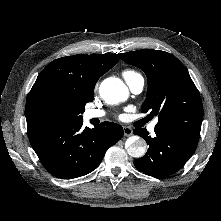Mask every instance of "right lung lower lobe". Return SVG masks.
I'll list each match as a JSON object with an SVG mask.
<instances>
[{
    "label": "right lung lower lobe",
    "instance_id": "right-lung-lower-lobe-1",
    "mask_svg": "<svg viewBox=\"0 0 221 221\" xmlns=\"http://www.w3.org/2000/svg\"><path fill=\"white\" fill-rule=\"evenodd\" d=\"M83 121L44 127L29 140L45 169L61 179L86 175L101 163L107 149L123 136V128L103 122L93 129Z\"/></svg>",
    "mask_w": 221,
    "mask_h": 221
}]
</instances>
